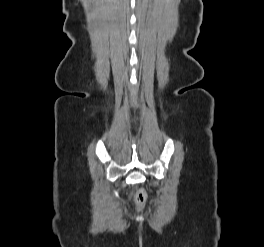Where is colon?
I'll return each instance as SVG.
<instances>
[{
    "instance_id": "5ec220e1",
    "label": "colon",
    "mask_w": 264,
    "mask_h": 247,
    "mask_svg": "<svg viewBox=\"0 0 264 247\" xmlns=\"http://www.w3.org/2000/svg\"><path fill=\"white\" fill-rule=\"evenodd\" d=\"M147 198V193L145 192V190L142 189L136 194L135 200L136 203L142 207L146 204Z\"/></svg>"
}]
</instances>
